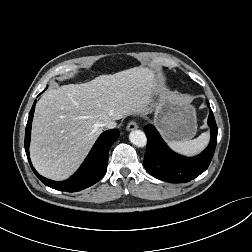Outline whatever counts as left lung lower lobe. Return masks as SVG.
I'll use <instances>...</instances> for the list:
<instances>
[{
  "instance_id": "left-lung-lower-lobe-1",
  "label": "left lung lower lobe",
  "mask_w": 252,
  "mask_h": 252,
  "mask_svg": "<svg viewBox=\"0 0 252 252\" xmlns=\"http://www.w3.org/2000/svg\"><path fill=\"white\" fill-rule=\"evenodd\" d=\"M208 125L211 139L207 148L195 157H185L173 152L151 124L144 127L147 136L145 169L154 177L171 183L189 182L209 166L217 143V125L209 105Z\"/></svg>"
}]
</instances>
